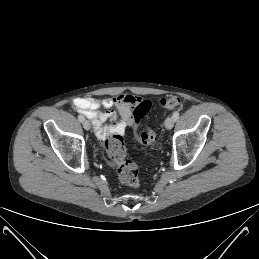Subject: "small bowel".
Wrapping results in <instances>:
<instances>
[{
	"label": "small bowel",
	"mask_w": 259,
	"mask_h": 259,
	"mask_svg": "<svg viewBox=\"0 0 259 259\" xmlns=\"http://www.w3.org/2000/svg\"><path fill=\"white\" fill-rule=\"evenodd\" d=\"M139 102V97L130 94L105 98L78 97L73 100V107L91 120L97 138L103 143L110 135L123 134L134 124L133 111ZM107 121L109 124L106 125Z\"/></svg>",
	"instance_id": "c3829d8e"
}]
</instances>
